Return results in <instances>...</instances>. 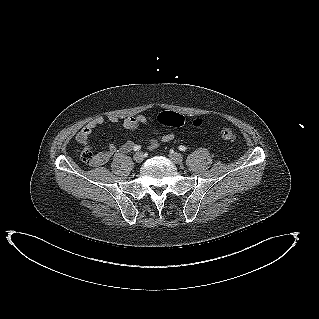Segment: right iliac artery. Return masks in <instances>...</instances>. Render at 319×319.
I'll use <instances>...</instances> for the list:
<instances>
[{
    "label": "right iliac artery",
    "instance_id": "1",
    "mask_svg": "<svg viewBox=\"0 0 319 319\" xmlns=\"http://www.w3.org/2000/svg\"><path fill=\"white\" fill-rule=\"evenodd\" d=\"M140 149H141L140 145H135L133 148L134 151H139Z\"/></svg>",
    "mask_w": 319,
    "mask_h": 319
}]
</instances>
